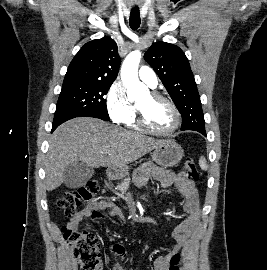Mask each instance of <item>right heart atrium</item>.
I'll return each instance as SVG.
<instances>
[{
	"instance_id": "right-heart-atrium-1",
	"label": "right heart atrium",
	"mask_w": 267,
	"mask_h": 270,
	"mask_svg": "<svg viewBox=\"0 0 267 270\" xmlns=\"http://www.w3.org/2000/svg\"><path fill=\"white\" fill-rule=\"evenodd\" d=\"M106 108L110 118L120 124H126L135 117V108L129 102L120 83H113L106 95Z\"/></svg>"
}]
</instances>
